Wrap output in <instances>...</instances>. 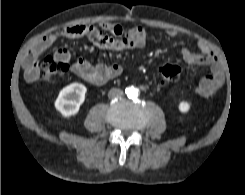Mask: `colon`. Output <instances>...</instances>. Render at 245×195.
Here are the masks:
<instances>
[{
    "label": "colon",
    "mask_w": 245,
    "mask_h": 195,
    "mask_svg": "<svg viewBox=\"0 0 245 195\" xmlns=\"http://www.w3.org/2000/svg\"><path fill=\"white\" fill-rule=\"evenodd\" d=\"M68 63L59 58L47 56L41 63L42 80L46 83L62 79L68 71ZM181 68L178 64L167 63L159 69L160 82L168 84L176 81L180 76Z\"/></svg>",
    "instance_id": "5ec220e1"
}]
</instances>
